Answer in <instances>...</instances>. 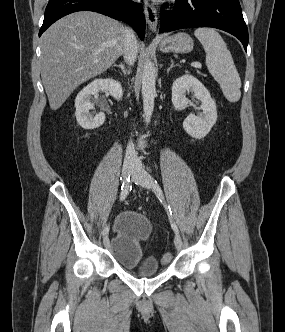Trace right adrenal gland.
<instances>
[{
  "instance_id": "1",
  "label": "right adrenal gland",
  "mask_w": 285,
  "mask_h": 332,
  "mask_svg": "<svg viewBox=\"0 0 285 332\" xmlns=\"http://www.w3.org/2000/svg\"><path fill=\"white\" fill-rule=\"evenodd\" d=\"M115 67H119L120 69H121V71L123 72V74L124 75H126V74H129L130 73V67H125V65L124 64H115L114 65Z\"/></svg>"
}]
</instances>
